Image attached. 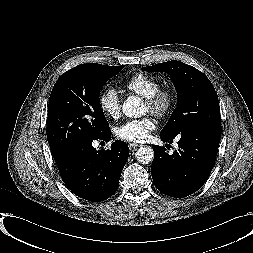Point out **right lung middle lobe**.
I'll return each instance as SVG.
<instances>
[{"mask_svg": "<svg viewBox=\"0 0 253 253\" xmlns=\"http://www.w3.org/2000/svg\"><path fill=\"white\" fill-rule=\"evenodd\" d=\"M124 67L81 64L57 80L49 99L46 128L54 158L75 143L97 138L109 129L99 93L104 83Z\"/></svg>", "mask_w": 253, "mask_h": 253, "instance_id": "1", "label": "right lung middle lobe"}]
</instances>
